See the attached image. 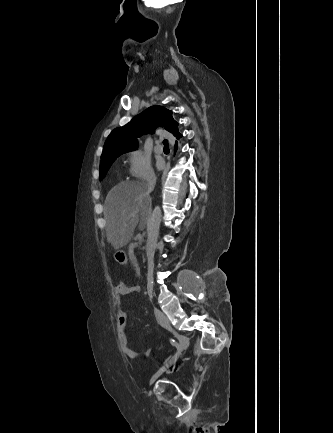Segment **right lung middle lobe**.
<instances>
[{
	"instance_id": "right-lung-middle-lobe-1",
	"label": "right lung middle lobe",
	"mask_w": 333,
	"mask_h": 433,
	"mask_svg": "<svg viewBox=\"0 0 333 433\" xmlns=\"http://www.w3.org/2000/svg\"><path fill=\"white\" fill-rule=\"evenodd\" d=\"M120 155L121 154L112 155V156L108 157L105 160H101V164H100V180H102L105 177V175H106L107 171L109 170L110 166L112 165V163Z\"/></svg>"
}]
</instances>
